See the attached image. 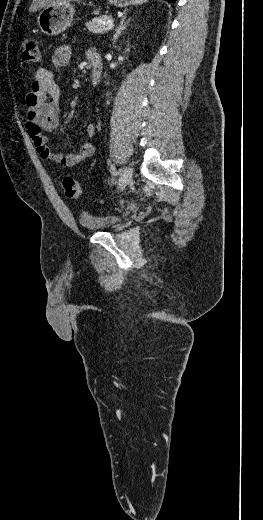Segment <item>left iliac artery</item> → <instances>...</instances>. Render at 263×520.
I'll use <instances>...</instances> for the list:
<instances>
[{
  "instance_id": "44dca946",
  "label": "left iliac artery",
  "mask_w": 263,
  "mask_h": 520,
  "mask_svg": "<svg viewBox=\"0 0 263 520\" xmlns=\"http://www.w3.org/2000/svg\"><path fill=\"white\" fill-rule=\"evenodd\" d=\"M110 172H111V174H112L113 176H115V175L117 174V172H116V168H115L114 165H111V166H110Z\"/></svg>"
}]
</instances>
